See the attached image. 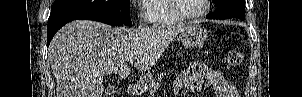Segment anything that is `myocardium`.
<instances>
[{"label":"myocardium","mask_w":302,"mask_h":97,"mask_svg":"<svg viewBox=\"0 0 302 97\" xmlns=\"http://www.w3.org/2000/svg\"><path fill=\"white\" fill-rule=\"evenodd\" d=\"M177 1L178 0H170V7L172 12L177 16V18L181 21H192V20H196L198 18L203 17L204 15L207 14L208 10H209V5H210V0H203V8L201 9V11L192 14V15H186L184 13H182L179 10V7L177 5Z\"/></svg>","instance_id":"obj_1"}]
</instances>
